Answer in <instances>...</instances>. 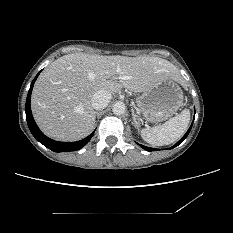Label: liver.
<instances>
[{
  "instance_id": "1",
  "label": "liver",
  "mask_w": 233,
  "mask_h": 233,
  "mask_svg": "<svg viewBox=\"0 0 233 233\" xmlns=\"http://www.w3.org/2000/svg\"><path fill=\"white\" fill-rule=\"evenodd\" d=\"M169 79L180 82L179 70L159 57L68 54L52 62L37 79L32 113L47 136L77 141L94 128V93L115 94L122 88L141 93Z\"/></svg>"
}]
</instances>
